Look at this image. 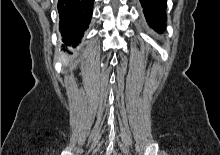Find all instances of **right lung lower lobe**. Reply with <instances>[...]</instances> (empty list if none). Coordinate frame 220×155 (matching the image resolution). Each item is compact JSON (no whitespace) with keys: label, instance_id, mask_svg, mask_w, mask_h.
I'll list each match as a JSON object with an SVG mask.
<instances>
[{"label":"right lung lower lobe","instance_id":"98d812e1","mask_svg":"<svg viewBox=\"0 0 220 155\" xmlns=\"http://www.w3.org/2000/svg\"><path fill=\"white\" fill-rule=\"evenodd\" d=\"M93 11V0H59V29L62 41L73 47L81 40Z\"/></svg>","mask_w":220,"mask_h":155}]
</instances>
